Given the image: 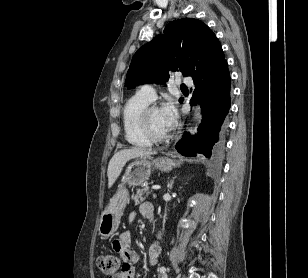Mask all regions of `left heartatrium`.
I'll use <instances>...</instances> for the list:
<instances>
[{
	"label": "left heart atrium",
	"instance_id": "39dd6f15",
	"mask_svg": "<svg viewBox=\"0 0 308 278\" xmlns=\"http://www.w3.org/2000/svg\"><path fill=\"white\" fill-rule=\"evenodd\" d=\"M159 110L164 127L167 131L171 130L177 122V111L175 106L171 102H168Z\"/></svg>",
	"mask_w": 308,
	"mask_h": 278
}]
</instances>
